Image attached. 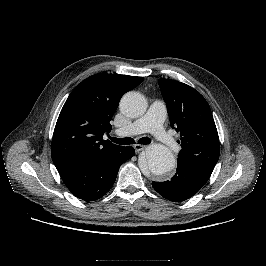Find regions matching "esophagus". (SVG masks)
<instances>
[{
  "label": "esophagus",
  "instance_id": "esophagus-1",
  "mask_svg": "<svg viewBox=\"0 0 266 266\" xmlns=\"http://www.w3.org/2000/svg\"><path fill=\"white\" fill-rule=\"evenodd\" d=\"M133 147H134L136 152H140L146 148L145 145H140V144H135Z\"/></svg>",
  "mask_w": 266,
  "mask_h": 266
}]
</instances>
